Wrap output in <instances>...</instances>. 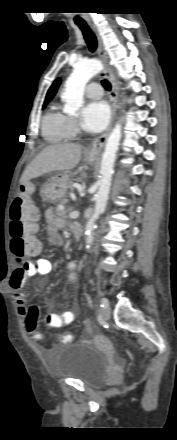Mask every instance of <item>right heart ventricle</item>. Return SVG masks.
I'll list each match as a JSON object with an SVG mask.
<instances>
[{
    "label": "right heart ventricle",
    "mask_w": 177,
    "mask_h": 440,
    "mask_svg": "<svg viewBox=\"0 0 177 440\" xmlns=\"http://www.w3.org/2000/svg\"><path fill=\"white\" fill-rule=\"evenodd\" d=\"M67 118L58 105L52 103L42 118L41 133L43 138L52 144L66 142L70 138Z\"/></svg>",
    "instance_id": "e07e8e85"
}]
</instances>
